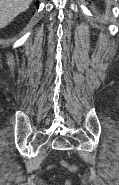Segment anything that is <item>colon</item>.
I'll list each match as a JSON object with an SVG mask.
<instances>
[{"mask_svg":"<svg viewBox=\"0 0 119 185\" xmlns=\"http://www.w3.org/2000/svg\"><path fill=\"white\" fill-rule=\"evenodd\" d=\"M65 164V163H64ZM66 165V164H65ZM67 166V165H66ZM69 168L72 170V171H76V167L75 166H69Z\"/></svg>","mask_w":119,"mask_h":185,"instance_id":"obj_1","label":"colon"}]
</instances>
